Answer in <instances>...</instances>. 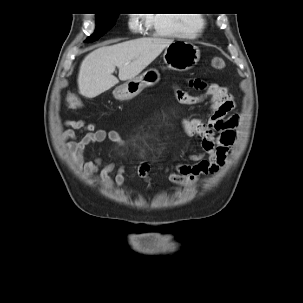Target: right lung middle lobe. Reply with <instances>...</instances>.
<instances>
[{
  "instance_id": "dd1d6c3e",
  "label": "right lung middle lobe",
  "mask_w": 303,
  "mask_h": 303,
  "mask_svg": "<svg viewBox=\"0 0 303 303\" xmlns=\"http://www.w3.org/2000/svg\"><path fill=\"white\" fill-rule=\"evenodd\" d=\"M97 27L95 33L86 42H93L109 31L115 24L118 14H97Z\"/></svg>"
}]
</instances>
